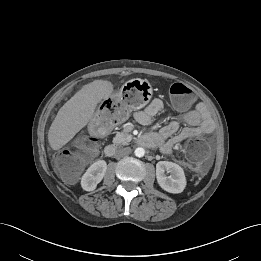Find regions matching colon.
<instances>
[{
  "instance_id": "1",
  "label": "colon",
  "mask_w": 261,
  "mask_h": 261,
  "mask_svg": "<svg viewBox=\"0 0 261 261\" xmlns=\"http://www.w3.org/2000/svg\"><path fill=\"white\" fill-rule=\"evenodd\" d=\"M170 94L175 105L187 107L192 101L190 88L182 83H174ZM124 118V113L112 111L110 115L100 118L96 132L78 137L71 150L61 153L55 161V166L61 177L67 182H73L81 173L85 162L95 156L99 138L107 134L110 126ZM208 147L198 138L191 139L186 145V152L191 159H201L206 156Z\"/></svg>"
}]
</instances>
